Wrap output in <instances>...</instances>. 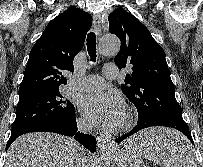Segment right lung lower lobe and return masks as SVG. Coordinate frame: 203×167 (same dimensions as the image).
<instances>
[{"label": "right lung lower lobe", "instance_id": "obj_1", "mask_svg": "<svg viewBox=\"0 0 203 167\" xmlns=\"http://www.w3.org/2000/svg\"><path fill=\"white\" fill-rule=\"evenodd\" d=\"M40 131L54 132V133H59V134L66 135V136L75 135V139L79 143H81L83 146H85L87 149H89L91 152H94L96 150V139L94 136L77 132L75 114L71 117L64 118L62 120L52 121V122L36 125L23 132L12 135L7 142L6 150L13 143V141L17 137L21 136L22 134L29 133V132H40Z\"/></svg>", "mask_w": 203, "mask_h": 167}]
</instances>
